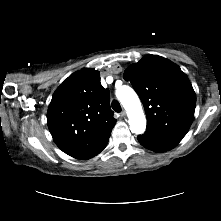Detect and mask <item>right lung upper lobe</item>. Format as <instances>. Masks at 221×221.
I'll list each match as a JSON object with an SVG mask.
<instances>
[{"label": "right lung upper lobe", "mask_w": 221, "mask_h": 221, "mask_svg": "<svg viewBox=\"0 0 221 221\" xmlns=\"http://www.w3.org/2000/svg\"><path fill=\"white\" fill-rule=\"evenodd\" d=\"M47 122L55 143L69 156L90 159L97 155L116 123L99 72L82 69L70 75L52 96Z\"/></svg>", "instance_id": "1"}]
</instances>
